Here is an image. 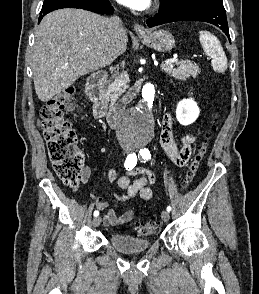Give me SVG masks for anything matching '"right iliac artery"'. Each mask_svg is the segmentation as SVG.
I'll list each match as a JSON object with an SVG mask.
<instances>
[{
	"mask_svg": "<svg viewBox=\"0 0 259 294\" xmlns=\"http://www.w3.org/2000/svg\"><path fill=\"white\" fill-rule=\"evenodd\" d=\"M137 164V156L135 153L129 154L125 160L124 166L126 169H131L133 167H135V165ZM99 215V212L96 210L94 212V216L97 217Z\"/></svg>",
	"mask_w": 259,
	"mask_h": 294,
	"instance_id": "right-iliac-artery-1",
	"label": "right iliac artery"
}]
</instances>
